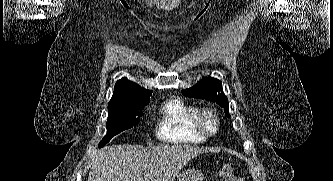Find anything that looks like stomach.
Returning <instances> with one entry per match:
<instances>
[{"label": "stomach", "instance_id": "stomach-1", "mask_svg": "<svg viewBox=\"0 0 333 181\" xmlns=\"http://www.w3.org/2000/svg\"><path fill=\"white\" fill-rule=\"evenodd\" d=\"M204 175L195 168H187L179 173L178 181H203Z\"/></svg>", "mask_w": 333, "mask_h": 181}]
</instances>
